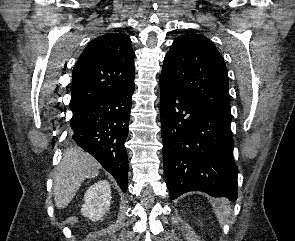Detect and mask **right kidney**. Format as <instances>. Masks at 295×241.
I'll return each instance as SVG.
<instances>
[{
  "mask_svg": "<svg viewBox=\"0 0 295 241\" xmlns=\"http://www.w3.org/2000/svg\"><path fill=\"white\" fill-rule=\"evenodd\" d=\"M111 187L107 180H100L90 186L84 195V204L81 208L83 216L92 221L102 219L110 208Z\"/></svg>",
  "mask_w": 295,
  "mask_h": 241,
  "instance_id": "right-kidney-1",
  "label": "right kidney"
}]
</instances>
